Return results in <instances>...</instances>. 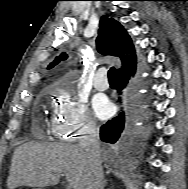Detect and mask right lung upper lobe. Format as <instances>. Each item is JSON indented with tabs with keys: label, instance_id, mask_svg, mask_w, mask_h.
<instances>
[{
	"label": "right lung upper lobe",
	"instance_id": "cb5924a9",
	"mask_svg": "<svg viewBox=\"0 0 188 189\" xmlns=\"http://www.w3.org/2000/svg\"><path fill=\"white\" fill-rule=\"evenodd\" d=\"M97 50L103 55L119 57L123 67L118 69V76L129 74L136 69V55L134 45L124 27L115 19L104 15L100 20V29L96 40ZM68 56L62 53L49 64L48 69L57 65L60 60Z\"/></svg>",
	"mask_w": 188,
	"mask_h": 189
}]
</instances>
